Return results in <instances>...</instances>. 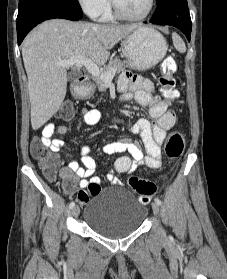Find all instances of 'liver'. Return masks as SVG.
<instances>
[{"instance_id":"liver-1","label":"liver","mask_w":227,"mask_h":279,"mask_svg":"<svg viewBox=\"0 0 227 279\" xmlns=\"http://www.w3.org/2000/svg\"><path fill=\"white\" fill-rule=\"evenodd\" d=\"M139 27L51 19L33 29L22 44L32 128L43 126L65 99L67 68L57 65L58 61L82 56L103 65L109 51Z\"/></svg>"}]
</instances>
